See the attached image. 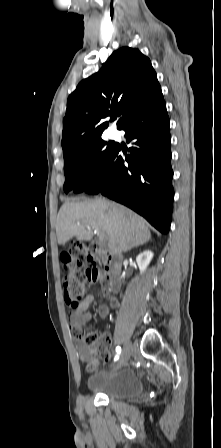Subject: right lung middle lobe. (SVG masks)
Listing matches in <instances>:
<instances>
[{"instance_id": "right-lung-middle-lobe-1", "label": "right lung middle lobe", "mask_w": 221, "mask_h": 448, "mask_svg": "<svg viewBox=\"0 0 221 448\" xmlns=\"http://www.w3.org/2000/svg\"><path fill=\"white\" fill-rule=\"evenodd\" d=\"M117 145L98 138L64 159V191H84L106 168Z\"/></svg>"}]
</instances>
